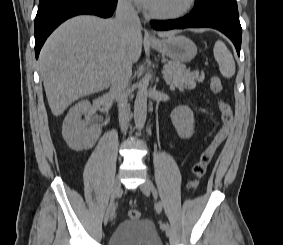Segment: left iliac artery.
<instances>
[{
	"label": "left iliac artery",
	"instance_id": "1",
	"mask_svg": "<svg viewBox=\"0 0 283 245\" xmlns=\"http://www.w3.org/2000/svg\"><path fill=\"white\" fill-rule=\"evenodd\" d=\"M157 213H160L162 211V202H158L156 207ZM161 229H170L169 224L167 222H160Z\"/></svg>",
	"mask_w": 283,
	"mask_h": 245
}]
</instances>
